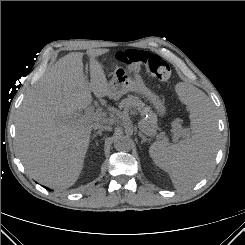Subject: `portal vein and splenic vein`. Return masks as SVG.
I'll return each instance as SVG.
<instances>
[{"instance_id": "portal-vein-and-splenic-vein-1", "label": "portal vein and splenic vein", "mask_w": 245, "mask_h": 245, "mask_svg": "<svg viewBox=\"0 0 245 245\" xmlns=\"http://www.w3.org/2000/svg\"><path fill=\"white\" fill-rule=\"evenodd\" d=\"M85 116L88 118V119H91V120H99L103 117V114L102 113H98V112H94V108L93 107H88L86 110H85ZM139 127L142 131H144L146 134L148 135H151L150 134V131L146 128L145 124H144V121H140L139 122ZM180 132V130L178 131V133ZM177 137V134L174 135V139H176Z\"/></svg>"}]
</instances>
